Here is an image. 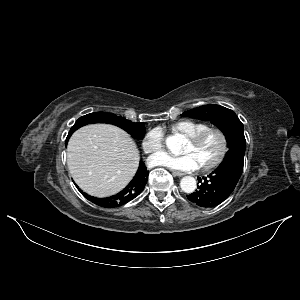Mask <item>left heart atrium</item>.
<instances>
[{"label": "left heart atrium", "mask_w": 300, "mask_h": 300, "mask_svg": "<svg viewBox=\"0 0 300 300\" xmlns=\"http://www.w3.org/2000/svg\"><path fill=\"white\" fill-rule=\"evenodd\" d=\"M152 166H164L172 170L192 171L199 166L193 156L189 153H184L179 156H172L166 153H159L149 159Z\"/></svg>", "instance_id": "39dd6f15"}]
</instances>
